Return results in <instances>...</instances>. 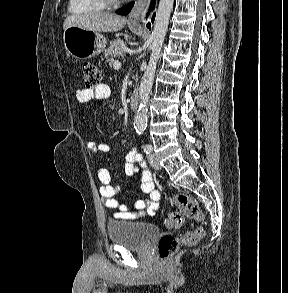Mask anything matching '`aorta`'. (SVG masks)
Segmentation results:
<instances>
[{
    "mask_svg": "<svg viewBox=\"0 0 288 293\" xmlns=\"http://www.w3.org/2000/svg\"><path fill=\"white\" fill-rule=\"evenodd\" d=\"M174 0H159L153 30L151 33V55L148 66L139 86V107L134 119L136 130L143 131L147 126L148 101L155 77L157 62L168 29Z\"/></svg>",
    "mask_w": 288,
    "mask_h": 293,
    "instance_id": "1",
    "label": "aorta"
}]
</instances>
